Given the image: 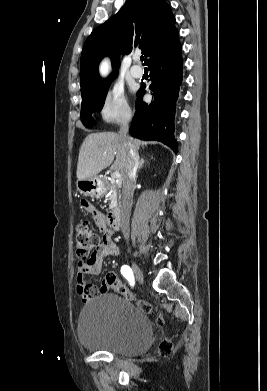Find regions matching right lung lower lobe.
Returning <instances> with one entry per match:
<instances>
[{
  "label": "right lung lower lobe",
  "mask_w": 267,
  "mask_h": 391,
  "mask_svg": "<svg viewBox=\"0 0 267 391\" xmlns=\"http://www.w3.org/2000/svg\"><path fill=\"white\" fill-rule=\"evenodd\" d=\"M147 65L152 81L149 88L154 100L149 105L142 101L145 93V85H142L137 93L130 134L142 140L161 141L176 152L174 115L183 66L180 42L153 58Z\"/></svg>",
  "instance_id": "right-lung-lower-lobe-1"
}]
</instances>
